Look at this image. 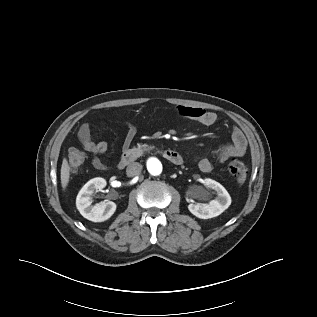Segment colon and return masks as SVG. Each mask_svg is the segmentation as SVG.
<instances>
[{"label": "colon", "instance_id": "1", "mask_svg": "<svg viewBox=\"0 0 317 317\" xmlns=\"http://www.w3.org/2000/svg\"><path fill=\"white\" fill-rule=\"evenodd\" d=\"M85 154L76 147H71L68 152L67 164L72 173L77 172L83 165ZM229 173L236 179L242 180L248 173L247 165L240 160L233 159L228 165Z\"/></svg>", "mask_w": 317, "mask_h": 317}]
</instances>
